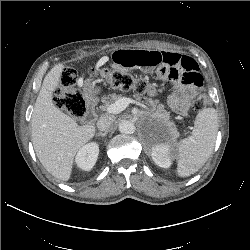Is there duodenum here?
<instances>
[{"label":"duodenum","mask_w":250,"mask_h":250,"mask_svg":"<svg viewBox=\"0 0 250 250\" xmlns=\"http://www.w3.org/2000/svg\"><path fill=\"white\" fill-rule=\"evenodd\" d=\"M95 106H96V101L93 98H88L86 100L85 114L86 113L92 114L94 112Z\"/></svg>","instance_id":"duodenum-1"}]
</instances>
